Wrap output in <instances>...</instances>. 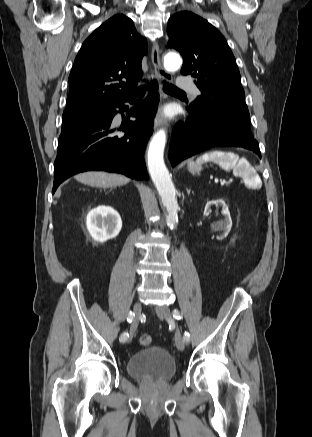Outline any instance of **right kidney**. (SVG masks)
Returning a JSON list of instances; mask_svg holds the SVG:
<instances>
[{
    "instance_id": "right-kidney-1",
    "label": "right kidney",
    "mask_w": 312,
    "mask_h": 437,
    "mask_svg": "<svg viewBox=\"0 0 312 437\" xmlns=\"http://www.w3.org/2000/svg\"><path fill=\"white\" fill-rule=\"evenodd\" d=\"M87 230L97 242L115 238L121 228L122 220L117 211L110 206H98L92 209L86 219Z\"/></svg>"
}]
</instances>
